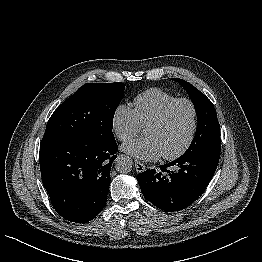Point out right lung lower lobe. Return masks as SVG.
Instances as JSON below:
<instances>
[{"label":"right lung lower lobe","instance_id":"right-lung-lower-lobe-1","mask_svg":"<svg viewBox=\"0 0 262 262\" xmlns=\"http://www.w3.org/2000/svg\"><path fill=\"white\" fill-rule=\"evenodd\" d=\"M117 149L114 137L42 139V182L59 215L76 223H86L98 215L106 203Z\"/></svg>","mask_w":262,"mask_h":262}]
</instances>
